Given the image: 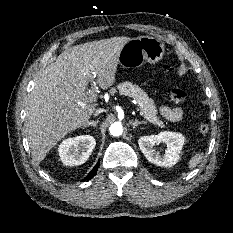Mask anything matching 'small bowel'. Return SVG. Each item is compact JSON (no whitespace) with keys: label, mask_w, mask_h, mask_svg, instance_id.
Masks as SVG:
<instances>
[{"label":"small bowel","mask_w":233,"mask_h":233,"mask_svg":"<svg viewBox=\"0 0 233 233\" xmlns=\"http://www.w3.org/2000/svg\"><path fill=\"white\" fill-rule=\"evenodd\" d=\"M161 115L169 121H179L183 116V111L180 107L162 106L160 108Z\"/></svg>","instance_id":"1"}]
</instances>
